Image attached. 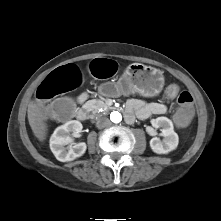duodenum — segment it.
Here are the masks:
<instances>
[{
  "label": "duodenum",
  "mask_w": 221,
  "mask_h": 221,
  "mask_svg": "<svg viewBox=\"0 0 221 221\" xmlns=\"http://www.w3.org/2000/svg\"><path fill=\"white\" fill-rule=\"evenodd\" d=\"M76 118L79 121H85L87 119V112L83 109H78L76 111ZM126 119H127V121L132 122L133 121V114L126 111Z\"/></svg>",
  "instance_id": "duodenum-1"
}]
</instances>
